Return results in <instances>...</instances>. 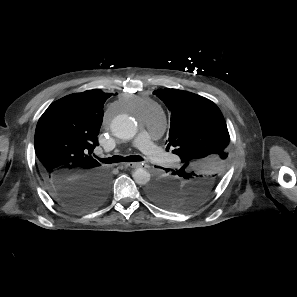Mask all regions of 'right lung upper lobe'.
Returning <instances> with one entry per match:
<instances>
[{
  "label": "right lung upper lobe",
  "mask_w": 297,
  "mask_h": 297,
  "mask_svg": "<svg viewBox=\"0 0 297 297\" xmlns=\"http://www.w3.org/2000/svg\"><path fill=\"white\" fill-rule=\"evenodd\" d=\"M112 96L99 89L68 95L51 104L35 131V152L45 180L54 174L81 178L101 171L92 157L98 145L103 104Z\"/></svg>",
  "instance_id": "1"
}]
</instances>
